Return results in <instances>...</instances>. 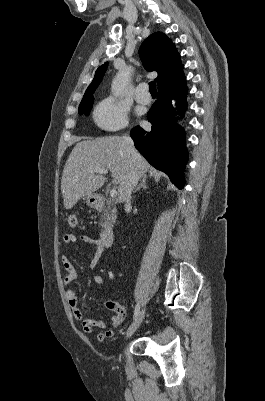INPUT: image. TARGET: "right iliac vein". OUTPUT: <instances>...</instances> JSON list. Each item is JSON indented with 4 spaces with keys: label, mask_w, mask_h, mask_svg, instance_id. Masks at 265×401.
<instances>
[{
    "label": "right iliac vein",
    "mask_w": 265,
    "mask_h": 401,
    "mask_svg": "<svg viewBox=\"0 0 265 401\" xmlns=\"http://www.w3.org/2000/svg\"><path fill=\"white\" fill-rule=\"evenodd\" d=\"M145 312H146V307H144L140 313L138 314V316L136 317L135 321L132 323V325L128 328L127 333H126V338L131 337L135 331L139 328V326L141 325L144 316H145Z\"/></svg>",
    "instance_id": "right-iliac-vein-1"
}]
</instances>
